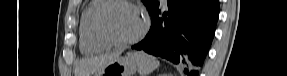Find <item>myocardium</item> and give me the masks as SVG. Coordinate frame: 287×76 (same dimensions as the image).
Returning a JSON list of instances; mask_svg holds the SVG:
<instances>
[{
	"mask_svg": "<svg viewBox=\"0 0 287 76\" xmlns=\"http://www.w3.org/2000/svg\"><path fill=\"white\" fill-rule=\"evenodd\" d=\"M116 4H124L135 8L143 17V26L139 33L130 39L118 40L110 37L102 27V20L106 12ZM150 27V20L146 11L138 4L129 0H105L93 17L92 29L96 39L106 47H124L142 40Z\"/></svg>",
	"mask_w": 287,
	"mask_h": 76,
	"instance_id": "f54148a6",
	"label": "myocardium"
}]
</instances>
